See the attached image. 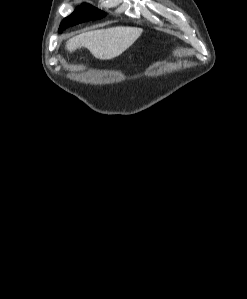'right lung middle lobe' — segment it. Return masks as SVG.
I'll use <instances>...</instances> for the list:
<instances>
[{
  "instance_id": "obj_1",
  "label": "right lung middle lobe",
  "mask_w": 247,
  "mask_h": 299,
  "mask_svg": "<svg viewBox=\"0 0 247 299\" xmlns=\"http://www.w3.org/2000/svg\"><path fill=\"white\" fill-rule=\"evenodd\" d=\"M106 15L101 10L92 7L89 4H82L76 8V10L68 17H66L59 27V33H61L66 28L76 25L85 21H92L96 19L103 18Z\"/></svg>"
}]
</instances>
